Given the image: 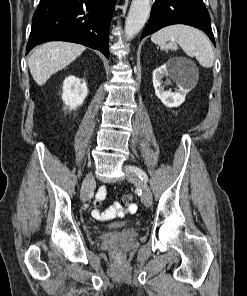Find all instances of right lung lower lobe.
<instances>
[{
  "mask_svg": "<svg viewBox=\"0 0 247 296\" xmlns=\"http://www.w3.org/2000/svg\"><path fill=\"white\" fill-rule=\"evenodd\" d=\"M116 0H40L26 54L47 41H69L109 58L108 36Z\"/></svg>",
  "mask_w": 247,
  "mask_h": 296,
  "instance_id": "98d812e1",
  "label": "right lung lower lobe"
}]
</instances>
